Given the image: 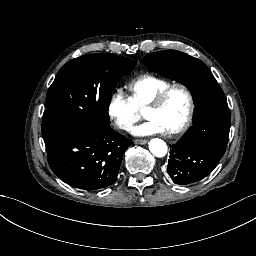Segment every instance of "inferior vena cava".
Here are the masks:
<instances>
[{
    "mask_svg": "<svg viewBox=\"0 0 256 256\" xmlns=\"http://www.w3.org/2000/svg\"><path fill=\"white\" fill-rule=\"evenodd\" d=\"M118 127L120 128V129H129L131 126H132V124L131 123H127V122H125V121H118Z\"/></svg>",
    "mask_w": 256,
    "mask_h": 256,
    "instance_id": "602c4592",
    "label": "inferior vena cava"
}]
</instances>
